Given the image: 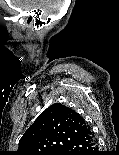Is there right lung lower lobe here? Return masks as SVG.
Masks as SVG:
<instances>
[{
    "instance_id": "right-lung-lower-lobe-1",
    "label": "right lung lower lobe",
    "mask_w": 119,
    "mask_h": 155,
    "mask_svg": "<svg viewBox=\"0 0 119 155\" xmlns=\"http://www.w3.org/2000/svg\"><path fill=\"white\" fill-rule=\"evenodd\" d=\"M59 155H97V143L91 129L66 145Z\"/></svg>"
}]
</instances>
